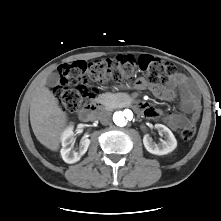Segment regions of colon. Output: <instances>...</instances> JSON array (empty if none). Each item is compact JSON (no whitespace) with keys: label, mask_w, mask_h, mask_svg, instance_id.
<instances>
[{"label":"colon","mask_w":221,"mask_h":221,"mask_svg":"<svg viewBox=\"0 0 221 221\" xmlns=\"http://www.w3.org/2000/svg\"><path fill=\"white\" fill-rule=\"evenodd\" d=\"M136 70L144 71L148 82L153 86L167 84L172 77L179 74L174 64L148 55L139 59L129 56L106 58L91 63L74 61L60 67L59 82L53 93L61 107L66 112L73 113L85 108L94 97V83L109 78L119 80ZM195 132L196 123L191 122L183 128L181 137L185 141L191 140Z\"/></svg>","instance_id":"1"}]
</instances>
